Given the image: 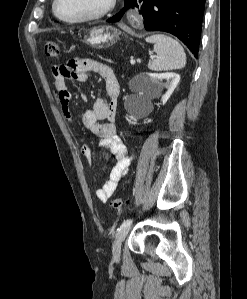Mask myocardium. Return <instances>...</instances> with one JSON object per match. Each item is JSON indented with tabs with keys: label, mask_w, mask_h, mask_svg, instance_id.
Instances as JSON below:
<instances>
[{
	"label": "myocardium",
	"mask_w": 247,
	"mask_h": 299,
	"mask_svg": "<svg viewBox=\"0 0 247 299\" xmlns=\"http://www.w3.org/2000/svg\"><path fill=\"white\" fill-rule=\"evenodd\" d=\"M59 0H54L52 4V11L54 16L60 20L61 22L67 23V24H78V23H85L90 22L94 20H98L102 17H104L107 13H109L113 7L115 6L116 0H106L105 4L95 13L86 15L80 18L75 19H66L59 15L57 11V3Z\"/></svg>",
	"instance_id": "1"
}]
</instances>
